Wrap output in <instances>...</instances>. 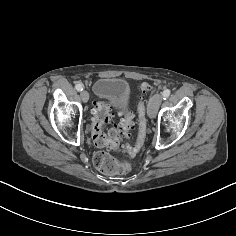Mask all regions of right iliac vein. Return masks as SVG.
Wrapping results in <instances>:
<instances>
[{"label":"right iliac vein","instance_id":"63e3f726","mask_svg":"<svg viewBox=\"0 0 236 236\" xmlns=\"http://www.w3.org/2000/svg\"><path fill=\"white\" fill-rule=\"evenodd\" d=\"M80 96H81V99L83 102H88L89 100V93L86 91V90H83L81 93H80Z\"/></svg>","mask_w":236,"mask_h":236}]
</instances>
